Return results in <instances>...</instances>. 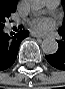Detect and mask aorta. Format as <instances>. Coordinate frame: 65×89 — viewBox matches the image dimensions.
Listing matches in <instances>:
<instances>
[{
  "label": "aorta",
  "mask_w": 65,
  "mask_h": 89,
  "mask_svg": "<svg viewBox=\"0 0 65 89\" xmlns=\"http://www.w3.org/2000/svg\"><path fill=\"white\" fill-rule=\"evenodd\" d=\"M28 7L32 11H38L43 7L42 0H30L28 2ZM42 50L44 53L51 55L55 54L58 50V43L54 38H46L42 42Z\"/></svg>",
  "instance_id": "762f6f07"
}]
</instances>
